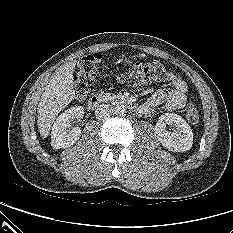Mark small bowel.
<instances>
[{
    "mask_svg": "<svg viewBox=\"0 0 233 233\" xmlns=\"http://www.w3.org/2000/svg\"><path fill=\"white\" fill-rule=\"evenodd\" d=\"M172 88L161 89L151 95L148 101L143 105L145 113L156 111L162 107L168 111H177L182 109L187 102V83L179 76L173 75Z\"/></svg>",
    "mask_w": 233,
    "mask_h": 233,
    "instance_id": "1",
    "label": "small bowel"
}]
</instances>
